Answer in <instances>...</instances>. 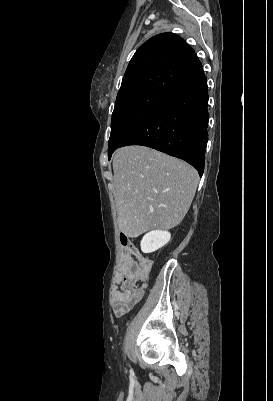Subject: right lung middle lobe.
<instances>
[{
  "label": "right lung middle lobe",
  "mask_w": 273,
  "mask_h": 401,
  "mask_svg": "<svg viewBox=\"0 0 273 401\" xmlns=\"http://www.w3.org/2000/svg\"><path fill=\"white\" fill-rule=\"evenodd\" d=\"M165 97V94L157 92H140L116 99L108 143L109 156L161 104Z\"/></svg>",
  "instance_id": "obj_1"
}]
</instances>
